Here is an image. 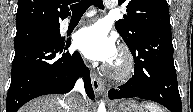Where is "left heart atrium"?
I'll return each mask as SVG.
<instances>
[{
	"label": "left heart atrium",
	"mask_w": 193,
	"mask_h": 112,
	"mask_svg": "<svg viewBox=\"0 0 193 112\" xmlns=\"http://www.w3.org/2000/svg\"><path fill=\"white\" fill-rule=\"evenodd\" d=\"M75 45L90 60L111 63L117 54L115 40L101 22L82 28L76 34Z\"/></svg>",
	"instance_id": "39dd6f15"
}]
</instances>
